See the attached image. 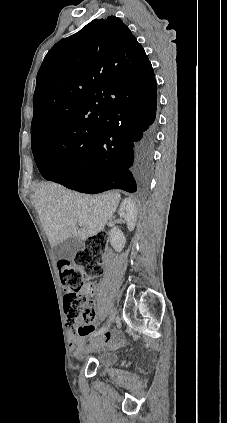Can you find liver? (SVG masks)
Listing matches in <instances>:
<instances>
[{
    "mask_svg": "<svg viewBox=\"0 0 227 423\" xmlns=\"http://www.w3.org/2000/svg\"><path fill=\"white\" fill-rule=\"evenodd\" d=\"M33 198L52 247L69 237H76L83 243L87 237L102 231L121 200L118 192L88 196L53 182L40 184Z\"/></svg>",
    "mask_w": 227,
    "mask_h": 423,
    "instance_id": "1",
    "label": "liver"
}]
</instances>
